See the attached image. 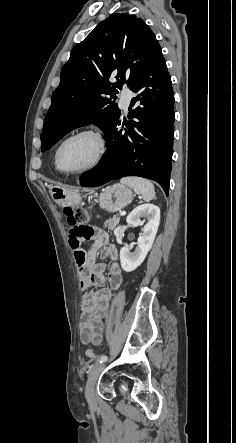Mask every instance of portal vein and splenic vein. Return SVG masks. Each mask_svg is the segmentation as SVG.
Wrapping results in <instances>:
<instances>
[{
    "instance_id": "18ae733b",
    "label": "portal vein and splenic vein",
    "mask_w": 236,
    "mask_h": 443,
    "mask_svg": "<svg viewBox=\"0 0 236 443\" xmlns=\"http://www.w3.org/2000/svg\"><path fill=\"white\" fill-rule=\"evenodd\" d=\"M125 214H126V212H121L120 213L121 216H124Z\"/></svg>"
}]
</instances>
